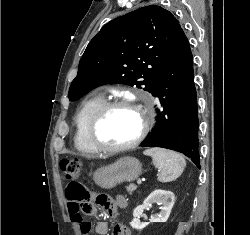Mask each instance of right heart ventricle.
Masks as SVG:
<instances>
[{
	"label": "right heart ventricle",
	"instance_id": "obj_1",
	"mask_svg": "<svg viewBox=\"0 0 250 235\" xmlns=\"http://www.w3.org/2000/svg\"><path fill=\"white\" fill-rule=\"evenodd\" d=\"M104 102L105 100L101 94L93 95L82 102L75 115L74 145L83 155H97L100 153L88 140L87 127L94 112Z\"/></svg>",
	"mask_w": 250,
	"mask_h": 235
}]
</instances>
